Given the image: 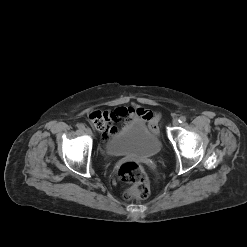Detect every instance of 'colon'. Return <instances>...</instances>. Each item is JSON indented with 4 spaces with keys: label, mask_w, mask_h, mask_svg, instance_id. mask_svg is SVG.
I'll return each instance as SVG.
<instances>
[{
    "label": "colon",
    "mask_w": 247,
    "mask_h": 247,
    "mask_svg": "<svg viewBox=\"0 0 247 247\" xmlns=\"http://www.w3.org/2000/svg\"><path fill=\"white\" fill-rule=\"evenodd\" d=\"M89 119L95 128L106 129L107 117L104 113L94 112ZM118 175L123 182L131 184V188L124 193L125 199L129 200L135 197L144 199L149 196V180L141 165L134 161L123 162L118 168Z\"/></svg>",
    "instance_id": "5ec220e1"
}]
</instances>
